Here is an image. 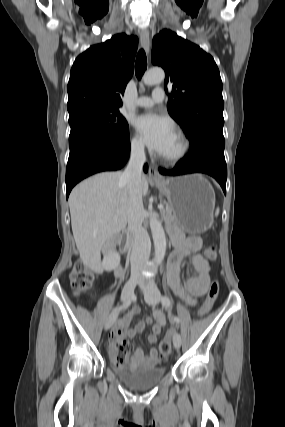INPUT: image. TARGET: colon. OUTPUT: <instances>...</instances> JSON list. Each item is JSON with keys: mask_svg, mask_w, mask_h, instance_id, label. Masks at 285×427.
I'll use <instances>...</instances> for the list:
<instances>
[{"mask_svg": "<svg viewBox=\"0 0 285 427\" xmlns=\"http://www.w3.org/2000/svg\"><path fill=\"white\" fill-rule=\"evenodd\" d=\"M205 256L211 261L217 259V249L214 245H209L205 249ZM94 274L82 261H76L70 274V284L76 295L87 292L93 283ZM219 295V283L214 280L209 288V292L202 307L198 310V316H204L212 308ZM172 350L171 335L165 337L159 345L160 358L165 359ZM129 353L126 343L118 346L114 351V358L118 363H124Z\"/></svg>", "mask_w": 285, "mask_h": 427, "instance_id": "obj_1", "label": "colon"}]
</instances>
